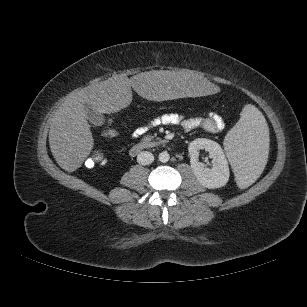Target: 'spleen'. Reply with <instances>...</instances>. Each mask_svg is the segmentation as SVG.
Returning <instances> with one entry per match:
<instances>
[{
    "label": "spleen",
    "instance_id": "spleen-1",
    "mask_svg": "<svg viewBox=\"0 0 307 307\" xmlns=\"http://www.w3.org/2000/svg\"><path fill=\"white\" fill-rule=\"evenodd\" d=\"M267 140L268 127L264 116L255 106L245 105L224 143L240 187L261 176L267 161Z\"/></svg>",
    "mask_w": 307,
    "mask_h": 307
}]
</instances>
